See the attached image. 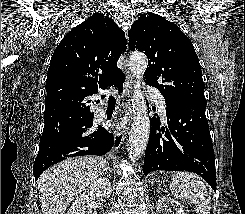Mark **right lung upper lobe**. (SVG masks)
Instances as JSON below:
<instances>
[{
	"instance_id": "1",
	"label": "right lung upper lobe",
	"mask_w": 245,
	"mask_h": 214,
	"mask_svg": "<svg viewBox=\"0 0 245 214\" xmlns=\"http://www.w3.org/2000/svg\"><path fill=\"white\" fill-rule=\"evenodd\" d=\"M126 45L124 32L101 13L93 14L67 33L50 61L44 121L88 106L89 96L122 78L117 61ZM57 98L66 103L60 105Z\"/></svg>"
}]
</instances>
